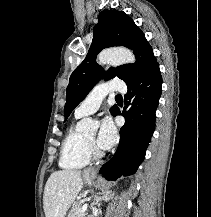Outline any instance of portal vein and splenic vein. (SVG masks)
<instances>
[{
	"mask_svg": "<svg viewBox=\"0 0 211 217\" xmlns=\"http://www.w3.org/2000/svg\"><path fill=\"white\" fill-rule=\"evenodd\" d=\"M88 208V203L83 204V206L81 207V211L85 212Z\"/></svg>",
	"mask_w": 211,
	"mask_h": 217,
	"instance_id": "portal-vein-and-splenic-vein-1",
	"label": "portal vein and splenic vein"
}]
</instances>
